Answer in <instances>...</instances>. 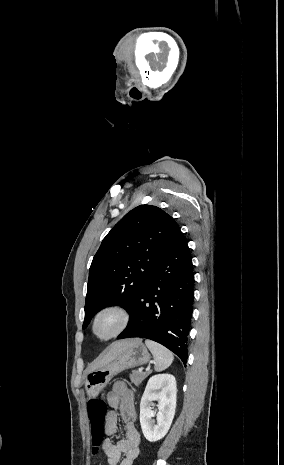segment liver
Here are the masks:
<instances>
[{"label":"liver","instance_id":"liver-1","mask_svg":"<svg viewBox=\"0 0 284 465\" xmlns=\"http://www.w3.org/2000/svg\"><path fill=\"white\" fill-rule=\"evenodd\" d=\"M137 343H141V339H128V341H118V343H114L107 355H104L102 359H97V361L92 363L90 371H95V369H99V367L108 365V363L114 361L120 353H123L125 349H129V347H133V345H137Z\"/></svg>","mask_w":284,"mask_h":465}]
</instances>
